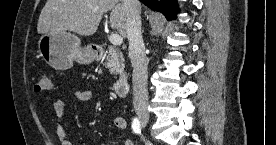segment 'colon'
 <instances>
[{"label": "colon", "mask_w": 276, "mask_h": 145, "mask_svg": "<svg viewBox=\"0 0 276 145\" xmlns=\"http://www.w3.org/2000/svg\"><path fill=\"white\" fill-rule=\"evenodd\" d=\"M34 90L37 93L48 92L52 90V81L48 74L39 73L36 77Z\"/></svg>", "instance_id": "obj_1"}]
</instances>
